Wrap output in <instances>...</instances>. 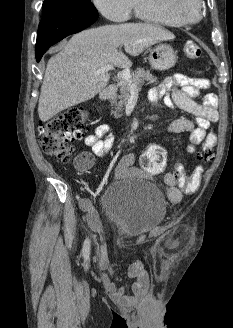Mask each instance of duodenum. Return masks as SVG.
Listing matches in <instances>:
<instances>
[{
    "instance_id": "duodenum-1",
    "label": "duodenum",
    "mask_w": 233,
    "mask_h": 328,
    "mask_svg": "<svg viewBox=\"0 0 233 328\" xmlns=\"http://www.w3.org/2000/svg\"><path fill=\"white\" fill-rule=\"evenodd\" d=\"M116 92V85L115 84H111L107 87H105L101 93H100V99L102 101H106L108 99H110Z\"/></svg>"
}]
</instances>
